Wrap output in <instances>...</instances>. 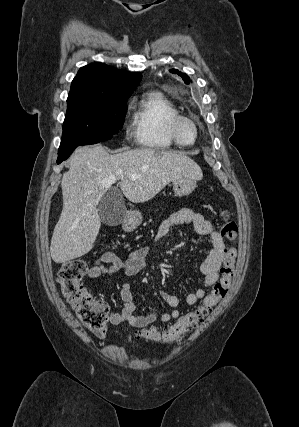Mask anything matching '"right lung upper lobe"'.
<instances>
[{"label":"right lung upper lobe","instance_id":"cb5924a9","mask_svg":"<svg viewBox=\"0 0 299 427\" xmlns=\"http://www.w3.org/2000/svg\"><path fill=\"white\" fill-rule=\"evenodd\" d=\"M141 73L118 70L99 62L80 68L73 79L67 100L79 98H119L130 96Z\"/></svg>","mask_w":299,"mask_h":427}]
</instances>
